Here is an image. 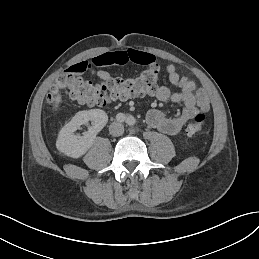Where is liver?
Instances as JSON below:
<instances>
[{"label":"liver","instance_id":"obj_1","mask_svg":"<svg viewBox=\"0 0 259 259\" xmlns=\"http://www.w3.org/2000/svg\"><path fill=\"white\" fill-rule=\"evenodd\" d=\"M60 102H61V96H60V95H57V96L55 97V107H57Z\"/></svg>","mask_w":259,"mask_h":259}]
</instances>
